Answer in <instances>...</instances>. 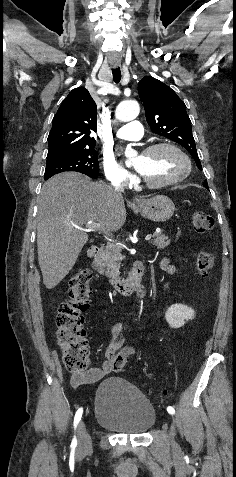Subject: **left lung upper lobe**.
<instances>
[{"label":"left lung upper lobe","instance_id":"5c2ea615","mask_svg":"<svg viewBox=\"0 0 236 477\" xmlns=\"http://www.w3.org/2000/svg\"><path fill=\"white\" fill-rule=\"evenodd\" d=\"M138 92L151 129L183 146L202 170L184 102L170 87L151 76H145L139 82ZM203 186L209 189L206 180Z\"/></svg>","mask_w":236,"mask_h":477}]
</instances>
